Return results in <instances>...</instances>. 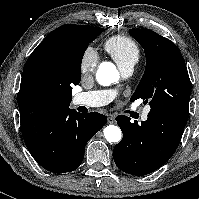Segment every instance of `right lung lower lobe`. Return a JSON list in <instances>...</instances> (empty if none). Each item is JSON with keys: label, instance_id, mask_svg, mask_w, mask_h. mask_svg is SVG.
Returning a JSON list of instances; mask_svg holds the SVG:
<instances>
[{"label": "right lung lower lobe", "instance_id": "98d812e1", "mask_svg": "<svg viewBox=\"0 0 199 199\" xmlns=\"http://www.w3.org/2000/svg\"><path fill=\"white\" fill-rule=\"evenodd\" d=\"M107 122L97 112L81 114L71 109L56 122L54 129L26 144L30 154L43 168L54 173H66L80 166L86 143Z\"/></svg>", "mask_w": 199, "mask_h": 199}]
</instances>
